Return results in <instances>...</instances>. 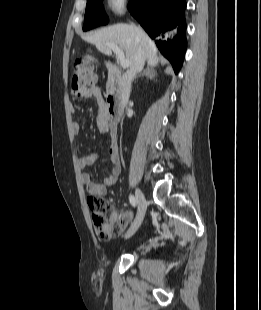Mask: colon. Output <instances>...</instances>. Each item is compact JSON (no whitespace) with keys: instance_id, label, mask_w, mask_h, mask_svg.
Wrapping results in <instances>:
<instances>
[{"instance_id":"1","label":"colon","mask_w":261,"mask_h":310,"mask_svg":"<svg viewBox=\"0 0 261 310\" xmlns=\"http://www.w3.org/2000/svg\"><path fill=\"white\" fill-rule=\"evenodd\" d=\"M97 82V74L91 62L85 58H78L72 65L71 87L75 92L93 88ZM87 204L91 211L92 221L96 231L104 239L117 237L128 225L130 215L120 218L109 215L110 204L100 195H90ZM128 212L127 210L125 211Z\"/></svg>"}]
</instances>
